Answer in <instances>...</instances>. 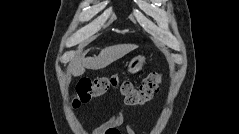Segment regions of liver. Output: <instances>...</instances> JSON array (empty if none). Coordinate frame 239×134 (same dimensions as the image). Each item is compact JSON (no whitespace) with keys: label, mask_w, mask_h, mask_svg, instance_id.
Returning a JSON list of instances; mask_svg holds the SVG:
<instances>
[{"label":"liver","mask_w":239,"mask_h":134,"mask_svg":"<svg viewBox=\"0 0 239 134\" xmlns=\"http://www.w3.org/2000/svg\"><path fill=\"white\" fill-rule=\"evenodd\" d=\"M137 46L133 44H121L106 47L95 57H82L79 60L73 62L70 66V72L73 76H80L84 74L85 69L98 70L105 68L110 65L112 62L122 58L129 52L136 49Z\"/></svg>","instance_id":"liver-1"}]
</instances>
